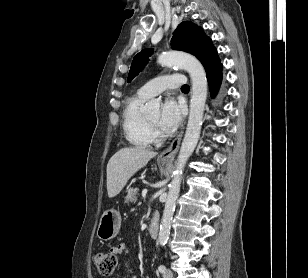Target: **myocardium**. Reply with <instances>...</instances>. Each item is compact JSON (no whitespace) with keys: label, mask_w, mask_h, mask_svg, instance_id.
I'll list each match as a JSON object with an SVG mask.
<instances>
[{"label":"myocardium","mask_w":308,"mask_h":278,"mask_svg":"<svg viewBox=\"0 0 308 278\" xmlns=\"http://www.w3.org/2000/svg\"><path fill=\"white\" fill-rule=\"evenodd\" d=\"M146 119H147L148 124L153 128L155 126V123L151 122L147 117Z\"/></svg>","instance_id":"f54148a6"}]
</instances>
